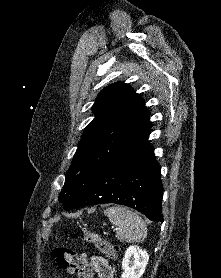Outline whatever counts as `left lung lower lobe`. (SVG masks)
Here are the masks:
<instances>
[{"instance_id": "left-lung-lower-lobe-1", "label": "left lung lower lobe", "mask_w": 221, "mask_h": 278, "mask_svg": "<svg viewBox=\"0 0 221 278\" xmlns=\"http://www.w3.org/2000/svg\"><path fill=\"white\" fill-rule=\"evenodd\" d=\"M149 130L121 150L97 175L73 208L115 203L163 222L160 166L148 141Z\"/></svg>"}]
</instances>
